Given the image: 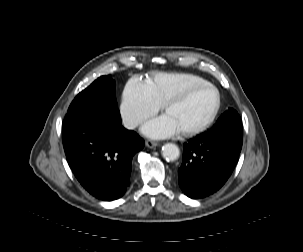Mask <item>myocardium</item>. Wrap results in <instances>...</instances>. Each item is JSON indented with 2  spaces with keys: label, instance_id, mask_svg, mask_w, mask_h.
<instances>
[{
  "label": "myocardium",
  "instance_id": "f54148a6",
  "mask_svg": "<svg viewBox=\"0 0 303 252\" xmlns=\"http://www.w3.org/2000/svg\"><path fill=\"white\" fill-rule=\"evenodd\" d=\"M201 87H209L214 92V94H215V104H214V107H213V109H212L209 117L201 125H198V126L193 127V128H187V129H181V130H179V132H180V134L182 136H186L187 137V136H192L194 134L200 133V132L206 130L213 123V121L215 120V118H216V116L218 114V111H219V108H220V104H221L220 94H219L217 88L211 82H208V81L201 82L200 84L196 85L194 88H192L189 91H187L181 97L169 100V101H167L163 105V111L166 113L171 106H173L175 104H179V103L185 101L187 99V97L193 91H195L196 89L201 88Z\"/></svg>",
  "mask_w": 303,
  "mask_h": 252
}]
</instances>
